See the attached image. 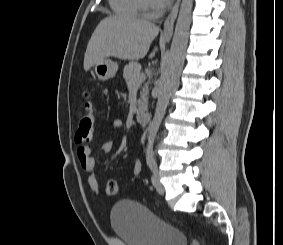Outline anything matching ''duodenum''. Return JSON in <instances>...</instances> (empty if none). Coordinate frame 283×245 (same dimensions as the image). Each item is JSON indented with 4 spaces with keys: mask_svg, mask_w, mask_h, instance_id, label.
<instances>
[{
    "mask_svg": "<svg viewBox=\"0 0 283 245\" xmlns=\"http://www.w3.org/2000/svg\"><path fill=\"white\" fill-rule=\"evenodd\" d=\"M151 116L147 112H140L137 115V121L142 126H147L150 123Z\"/></svg>",
    "mask_w": 283,
    "mask_h": 245,
    "instance_id": "1",
    "label": "duodenum"
}]
</instances>
